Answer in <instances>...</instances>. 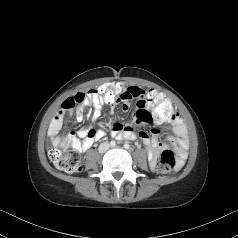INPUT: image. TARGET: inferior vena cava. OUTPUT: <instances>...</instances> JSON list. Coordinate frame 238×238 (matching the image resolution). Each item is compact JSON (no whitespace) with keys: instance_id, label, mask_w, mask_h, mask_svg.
Segmentation results:
<instances>
[{"instance_id":"obj_1","label":"inferior vena cava","mask_w":238,"mask_h":238,"mask_svg":"<svg viewBox=\"0 0 238 238\" xmlns=\"http://www.w3.org/2000/svg\"><path fill=\"white\" fill-rule=\"evenodd\" d=\"M108 149H109V144H107V143H104V145H101V146L99 147V150H100L101 152L106 151V150H108Z\"/></svg>"}]
</instances>
